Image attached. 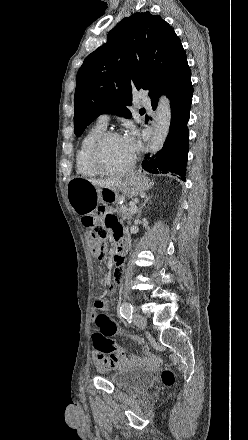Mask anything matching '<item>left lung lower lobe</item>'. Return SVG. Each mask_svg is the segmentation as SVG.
Here are the masks:
<instances>
[{"mask_svg":"<svg viewBox=\"0 0 248 440\" xmlns=\"http://www.w3.org/2000/svg\"><path fill=\"white\" fill-rule=\"evenodd\" d=\"M166 95L171 106L169 134L163 148L153 158L148 154L142 167L154 174L175 173L185 181L189 139L187 122L193 95L191 79L174 86ZM152 107H157V101L152 102Z\"/></svg>","mask_w":248,"mask_h":440,"instance_id":"obj_1","label":"left lung lower lobe"}]
</instances>
